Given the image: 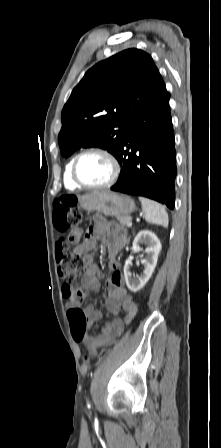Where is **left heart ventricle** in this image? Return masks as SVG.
<instances>
[{"label": "left heart ventricle", "instance_id": "left-heart-ventricle-1", "mask_svg": "<svg viewBox=\"0 0 221 448\" xmlns=\"http://www.w3.org/2000/svg\"><path fill=\"white\" fill-rule=\"evenodd\" d=\"M78 175L87 184L99 185L111 178L112 169L103 155L89 154L80 161Z\"/></svg>", "mask_w": 221, "mask_h": 448}]
</instances>
